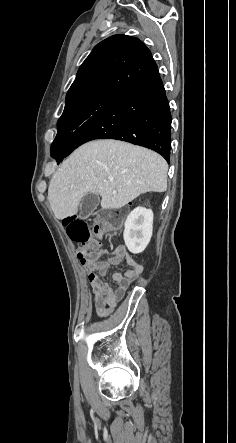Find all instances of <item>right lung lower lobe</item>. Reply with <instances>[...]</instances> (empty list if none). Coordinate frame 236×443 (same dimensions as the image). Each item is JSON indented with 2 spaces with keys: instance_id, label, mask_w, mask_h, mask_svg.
<instances>
[{
  "instance_id": "right-lung-lower-lobe-1",
  "label": "right lung lower lobe",
  "mask_w": 236,
  "mask_h": 443,
  "mask_svg": "<svg viewBox=\"0 0 236 443\" xmlns=\"http://www.w3.org/2000/svg\"><path fill=\"white\" fill-rule=\"evenodd\" d=\"M101 138L147 147L169 162L171 113L156 64L108 99L77 129L67 149H51L52 157L61 162L81 144Z\"/></svg>"
}]
</instances>
